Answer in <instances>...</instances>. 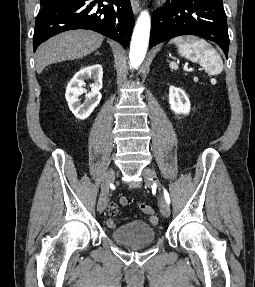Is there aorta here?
<instances>
[{"label": "aorta", "instance_id": "aorta-1", "mask_svg": "<svg viewBox=\"0 0 255 287\" xmlns=\"http://www.w3.org/2000/svg\"><path fill=\"white\" fill-rule=\"evenodd\" d=\"M150 16L147 11H143L134 28L131 46L130 63L133 67L139 66L146 55L150 35Z\"/></svg>", "mask_w": 255, "mask_h": 287}]
</instances>
